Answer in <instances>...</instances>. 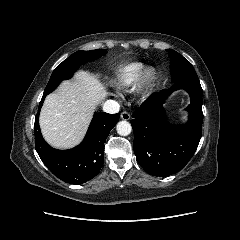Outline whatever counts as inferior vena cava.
I'll return each instance as SVG.
<instances>
[{
    "instance_id": "obj_1",
    "label": "inferior vena cava",
    "mask_w": 240,
    "mask_h": 240,
    "mask_svg": "<svg viewBox=\"0 0 240 240\" xmlns=\"http://www.w3.org/2000/svg\"><path fill=\"white\" fill-rule=\"evenodd\" d=\"M119 110H120V105L118 102L114 100H107L103 104V111L106 113L114 114V113H118Z\"/></svg>"
}]
</instances>
